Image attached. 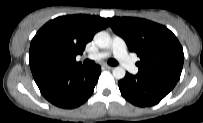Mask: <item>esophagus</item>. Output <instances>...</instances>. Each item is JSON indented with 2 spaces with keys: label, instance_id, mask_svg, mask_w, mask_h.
<instances>
[{
  "label": "esophagus",
  "instance_id": "esophagus-1",
  "mask_svg": "<svg viewBox=\"0 0 203 123\" xmlns=\"http://www.w3.org/2000/svg\"><path fill=\"white\" fill-rule=\"evenodd\" d=\"M102 68H103V69H107V70L113 69V67H112V66H109V65H103Z\"/></svg>",
  "mask_w": 203,
  "mask_h": 123
}]
</instances>
